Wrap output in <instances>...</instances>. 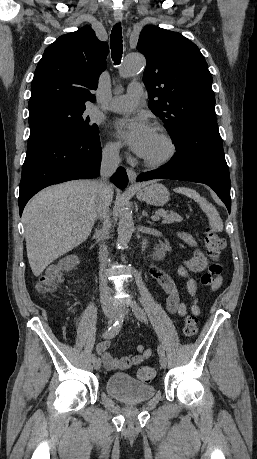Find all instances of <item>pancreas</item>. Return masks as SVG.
<instances>
[{
	"mask_svg": "<svg viewBox=\"0 0 257 459\" xmlns=\"http://www.w3.org/2000/svg\"><path fill=\"white\" fill-rule=\"evenodd\" d=\"M156 214L163 218L162 222L165 223V224L173 223V222H181L182 221V217L180 215H178L175 212L165 211L164 209L157 210Z\"/></svg>",
	"mask_w": 257,
	"mask_h": 459,
	"instance_id": "1",
	"label": "pancreas"
}]
</instances>
